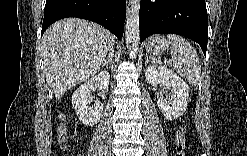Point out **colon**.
Returning <instances> with one entry per match:
<instances>
[{
    "instance_id": "obj_1",
    "label": "colon",
    "mask_w": 247,
    "mask_h": 156,
    "mask_svg": "<svg viewBox=\"0 0 247 156\" xmlns=\"http://www.w3.org/2000/svg\"><path fill=\"white\" fill-rule=\"evenodd\" d=\"M58 141L62 145L66 143L67 140V128L64 120L61 121L58 127ZM185 147V129L181 126L175 134V151L177 155H183Z\"/></svg>"
}]
</instances>
